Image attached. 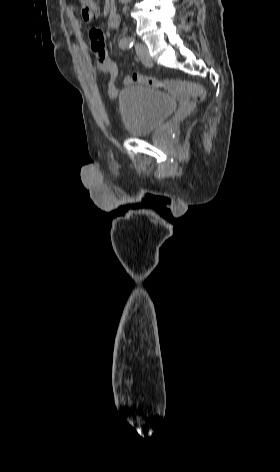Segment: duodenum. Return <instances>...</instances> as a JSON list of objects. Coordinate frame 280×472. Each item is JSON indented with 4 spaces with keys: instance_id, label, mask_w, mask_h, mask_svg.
<instances>
[{
    "instance_id": "410a0bca",
    "label": "duodenum",
    "mask_w": 280,
    "mask_h": 472,
    "mask_svg": "<svg viewBox=\"0 0 280 472\" xmlns=\"http://www.w3.org/2000/svg\"><path fill=\"white\" fill-rule=\"evenodd\" d=\"M107 22L111 28H116L119 26L120 16L115 9H111L109 11Z\"/></svg>"
}]
</instances>
